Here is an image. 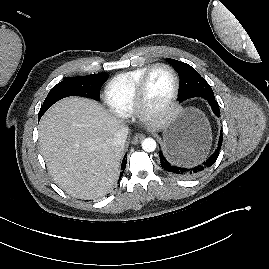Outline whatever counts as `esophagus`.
Listing matches in <instances>:
<instances>
[{"label": "esophagus", "mask_w": 269, "mask_h": 269, "mask_svg": "<svg viewBox=\"0 0 269 269\" xmlns=\"http://www.w3.org/2000/svg\"><path fill=\"white\" fill-rule=\"evenodd\" d=\"M145 138L144 134H136L132 139V144H138Z\"/></svg>", "instance_id": "obj_1"}]
</instances>
